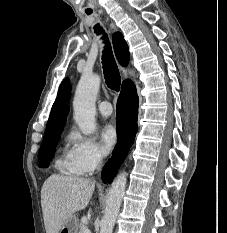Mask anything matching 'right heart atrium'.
<instances>
[{
	"label": "right heart atrium",
	"instance_id": "right-heart-atrium-1",
	"mask_svg": "<svg viewBox=\"0 0 227 233\" xmlns=\"http://www.w3.org/2000/svg\"><path fill=\"white\" fill-rule=\"evenodd\" d=\"M69 139L72 145L68 157L74 172L89 175L101 166L104 152L94 138L72 131Z\"/></svg>",
	"mask_w": 227,
	"mask_h": 233
}]
</instances>
